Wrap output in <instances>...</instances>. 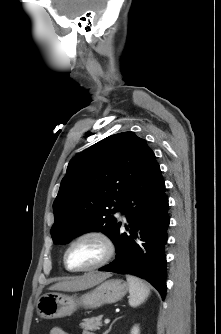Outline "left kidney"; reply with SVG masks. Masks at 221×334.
Returning a JSON list of instances; mask_svg holds the SVG:
<instances>
[{"label": "left kidney", "mask_w": 221, "mask_h": 334, "mask_svg": "<svg viewBox=\"0 0 221 334\" xmlns=\"http://www.w3.org/2000/svg\"><path fill=\"white\" fill-rule=\"evenodd\" d=\"M131 334H139V328L138 327H133Z\"/></svg>", "instance_id": "1"}]
</instances>
